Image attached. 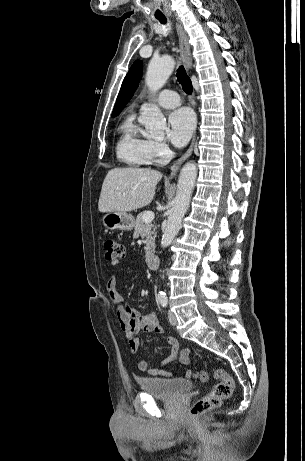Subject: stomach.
Wrapping results in <instances>:
<instances>
[{"label": "stomach", "instance_id": "0dacf381", "mask_svg": "<svg viewBox=\"0 0 305 461\" xmlns=\"http://www.w3.org/2000/svg\"><path fill=\"white\" fill-rule=\"evenodd\" d=\"M103 225L109 230L131 231L135 221L131 214L125 212H107L102 218Z\"/></svg>", "mask_w": 305, "mask_h": 461}]
</instances>
